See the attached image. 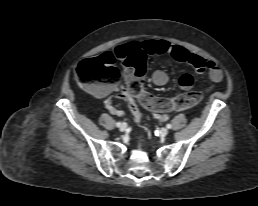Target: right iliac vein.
<instances>
[{"mask_svg": "<svg viewBox=\"0 0 258 206\" xmlns=\"http://www.w3.org/2000/svg\"><path fill=\"white\" fill-rule=\"evenodd\" d=\"M126 128H127V124L126 123H122L120 128H119V130L123 132V131L126 130Z\"/></svg>", "mask_w": 258, "mask_h": 206, "instance_id": "obj_1", "label": "right iliac vein"}]
</instances>
